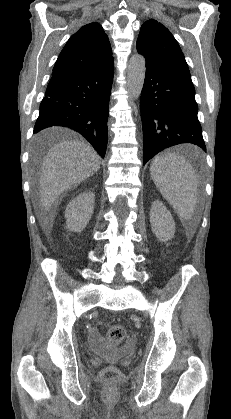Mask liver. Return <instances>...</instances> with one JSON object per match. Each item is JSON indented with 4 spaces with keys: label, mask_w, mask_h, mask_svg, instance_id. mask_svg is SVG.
Returning <instances> with one entry per match:
<instances>
[{
    "label": "liver",
    "mask_w": 231,
    "mask_h": 419,
    "mask_svg": "<svg viewBox=\"0 0 231 419\" xmlns=\"http://www.w3.org/2000/svg\"><path fill=\"white\" fill-rule=\"evenodd\" d=\"M47 132L35 137L36 144L43 142ZM101 160L96 151L79 140H64L53 146L43 159L40 172L39 222L46 234L52 228L55 212L52 206L65 191L80 184L100 168Z\"/></svg>",
    "instance_id": "6515ba94"
}]
</instances>
